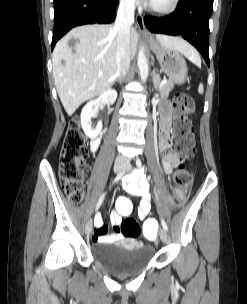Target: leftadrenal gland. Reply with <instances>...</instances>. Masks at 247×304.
Masks as SVG:
<instances>
[{"mask_svg":"<svg viewBox=\"0 0 247 304\" xmlns=\"http://www.w3.org/2000/svg\"><path fill=\"white\" fill-rule=\"evenodd\" d=\"M152 74H153V86L156 90H158V87H159V84L161 81V77L159 74L156 73L155 70H153Z\"/></svg>","mask_w":247,"mask_h":304,"instance_id":"obj_1","label":"left adrenal gland"}]
</instances>
